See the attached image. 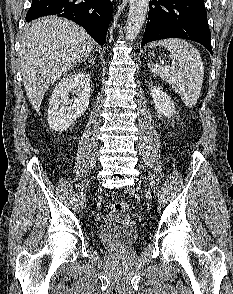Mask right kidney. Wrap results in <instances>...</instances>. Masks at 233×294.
<instances>
[{"instance_id": "right-kidney-1", "label": "right kidney", "mask_w": 233, "mask_h": 294, "mask_svg": "<svg viewBox=\"0 0 233 294\" xmlns=\"http://www.w3.org/2000/svg\"><path fill=\"white\" fill-rule=\"evenodd\" d=\"M91 77L84 72L70 73L55 87L49 100L48 124L54 131H65L87 110ZM69 94L77 97L70 99Z\"/></svg>"}]
</instances>
